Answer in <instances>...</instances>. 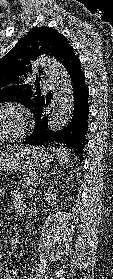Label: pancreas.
<instances>
[{
	"label": "pancreas",
	"instance_id": "obj_1",
	"mask_svg": "<svg viewBox=\"0 0 113 279\" xmlns=\"http://www.w3.org/2000/svg\"><path fill=\"white\" fill-rule=\"evenodd\" d=\"M38 173L30 172L23 175V178L18 182V187L26 188L29 186L34 180L38 178Z\"/></svg>",
	"mask_w": 113,
	"mask_h": 279
}]
</instances>
